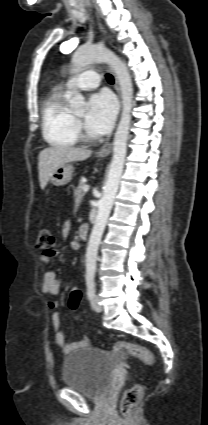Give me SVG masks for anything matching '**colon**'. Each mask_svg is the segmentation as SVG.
I'll list each match as a JSON object with an SVG mask.
<instances>
[{
  "mask_svg": "<svg viewBox=\"0 0 208 425\" xmlns=\"http://www.w3.org/2000/svg\"><path fill=\"white\" fill-rule=\"evenodd\" d=\"M55 246V237L52 232L48 229H43L39 232L36 247L46 255L54 254ZM82 299V291L79 287L75 286L70 291L69 296V307L72 310H77L79 308L80 302ZM112 350L115 353H127L133 357L140 359L144 362L149 368H153L155 365V357L151 351L142 347L136 343L120 341L112 345ZM145 391V386L141 384H136L126 391L124 394L121 403L120 411L123 415H130L135 407L140 402Z\"/></svg>",
  "mask_w": 208,
  "mask_h": 425,
  "instance_id": "obj_1",
  "label": "colon"
}]
</instances>
